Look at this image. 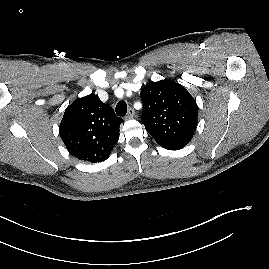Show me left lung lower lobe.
Here are the masks:
<instances>
[{"instance_id":"0a47b994","label":"left lung lower lobe","mask_w":269,"mask_h":269,"mask_svg":"<svg viewBox=\"0 0 269 269\" xmlns=\"http://www.w3.org/2000/svg\"><path fill=\"white\" fill-rule=\"evenodd\" d=\"M183 148V147H182ZM179 149H181V148H173V149H169V150H179Z\"/></svg>"}]
</instances>
